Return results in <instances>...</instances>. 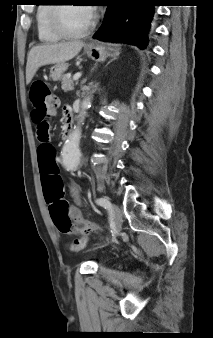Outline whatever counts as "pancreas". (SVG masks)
<instances>
[{
    "label": "pancreas",
    "instance_id": "cf45deb5",
    "mask_svg": "<svg viewBox=\"0 0 213 338\" xmlns=\"http://www.w3.org/2000/svg\"><path fill=\"white\" fill-rule=\"evenodd\" d=\"M62 89L64 92L71 91L74 89V83L70 76L64 75L62 77Z\"/></svg>",
    "mask_w": 213,
    "mask_h": 338
}]
</instances>
